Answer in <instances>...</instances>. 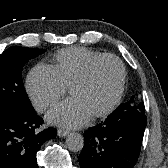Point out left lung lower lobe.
I'll use <instances>...</instances> for the list:
<instances>
[{"label": "left lung lower lobe", "instance_id": "0a47b994", "mask_svg": "<svg viewBox=\"0 0 168 168\" xmlns=\"http://www.w3.org/2000/svg\"><path fill=\"white\" fill-rule=\"evenodd\" d=\"M147 118L144 104L120 105L104 122L84 132L81 168H133L139 158Z\"/></svg>", "mask_w": 168, "mask_h": 168}]
</instances>
